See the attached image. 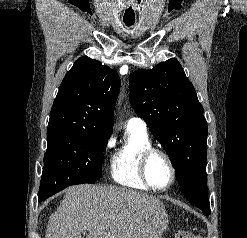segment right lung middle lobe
<instances>
[{
  "label": "right lung middle lobe",
  "instance_id": "right-lung-middle-lobe-1",
  "mask_svg": "<svg viewBox=\"0 0 247 238\" xmlns=\"http://www.w3.org/2000/svg\"><path fill=\"white\" fill-rule=\"evenodd\" d=\"M108 137L109 134L91 129L47 135L38 201L69 185L93 184L99 180Z\"/></svg>",
  "mask_w": 247,
  "mask_h": 238
}]
</instances>
